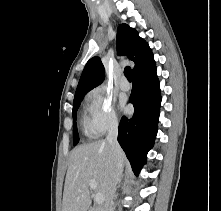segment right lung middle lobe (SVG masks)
I'll return each instance as SVG.
<instances>
[{
  "mask_svg": "<svg viewBox=\"0 0 221 211\" xmlns=\"http://www.w3.org/2000/svg\"><path fill=\"white\" fill-rule=\"evenodd\" d=\"M83 97L84 96L74 98V102H73V141H74V145H76L79 142V135H78L77 125H76V112H77V109H78Z\"/></svg>",
  "mask_w": 221,
  "mask_h": 211,
  "instance_id": "obj_1",
  "label": "right lung middle lobe"
}]
</instances>
